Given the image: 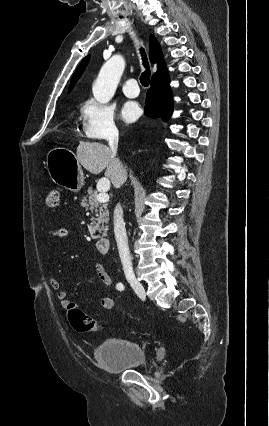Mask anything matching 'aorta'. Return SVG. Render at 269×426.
Segmentation results:
<instances>
[{
  "label": "aorta",
  "mask_w": 269,
  "mask_h": 426,
  "mask_svg": "<svg viewBox=\"0 0 269 426\" xmlns=\"http://www.w3.org/2000/svg\"><path fill=\"white\" fill-rule=\"evenodd\" d=\"M125 68L123 57L116 55L109 59L101 68L92 92L100 103H107L113 97Z\"/></svg>",
  "instance_id": "1"
}]
</instances>
